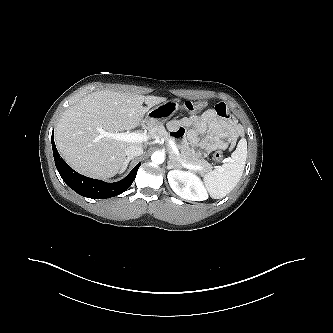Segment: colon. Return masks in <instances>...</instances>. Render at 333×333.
<instances>
[{"instance_id":"obj_1","label":"colon","mask_w":333,"mask_h":333,"mask_svg":"<svg viewBox=\"0 0 333 333\" xmlns=\"http://www.w3.org/2000/svg\"><path fill=\"white\" fill-rule=\"evenodd\" d=\"M206 105L207 102L203 100H196V101L188 100L182 104V109L188 112H198L202 111L206 107ZM223 158L224 154L222 151H216L213 155V159L217 162L222 161Z\"/></svg>"}]
</instances>
